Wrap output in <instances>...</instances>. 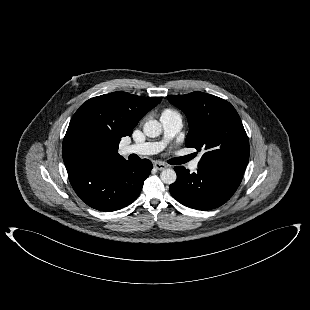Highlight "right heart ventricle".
I'll return each mask as SVG.
<instances>
[{
    "mask_svg": "<svg viewBox=\"0 0 310 310\" xmlns=\"http://www.w3.org/2000/svg\"><path fill=\"white\" fill-rule=\"evenodd\" d=\"M164 112H171V113H175L174 111H172V110H165Z\"/></svg>",
    "mask_w": 310,
    "mask_h": 310,
    "instance_id": "1",
    "label": "right heart ventricle"
}]
</instances>
